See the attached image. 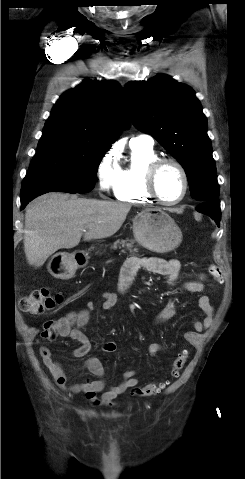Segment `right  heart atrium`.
I'll list each match as a JSON object with an SVG mask.
<instances>
[{
    "mask_svg": "<svg viewBox=\"0 0 245 479\" xmlns=\"http://www.w3.org/2000/svg\"><path fill=\"white\" fill-rule=\"evenodd\" d=\"M119 172L116 156L113 153L106 154L97 167V185L102 193L114 190Z\"/></svg>",
    "mask_w": 245,
    "mask_h": 479,
    "instance_id": "obj_1",
    "label": "right heart atrium"
}]
</instances>
